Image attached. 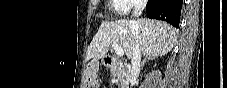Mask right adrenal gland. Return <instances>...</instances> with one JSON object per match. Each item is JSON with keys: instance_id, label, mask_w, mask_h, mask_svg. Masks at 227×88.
Segmentation results:
<instances>
[{"instance_id": "right-adrenal-gland-1", "label": "right adrenal gland", "mask_w": 227, "mask_h": 88, "mask_svg": "<svg viewBox=\"0 0 227 88\" xmlns=\"http://www.w3.org/2000/svg\"><path fill=\"white\" fill-rule=\"evenodd\" d=\"M152 59H155V57L153 56H145V58L143 59L142 63H141V69L144 67V64L149 61V60H152Z\"/></svg>"}]
</instances>
